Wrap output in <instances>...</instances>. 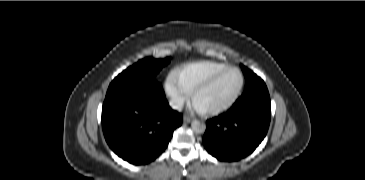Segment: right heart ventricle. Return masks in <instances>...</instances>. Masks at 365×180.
<instances>
[{"label": "right heart ventricle", "instance_id": "right-heart-ventricle-1", "mask_svg": "<svg viewBox=\"0 0 365 180\" xmlns=\"http://www.w3.org/2000/svg\"><path fill=\"white\" fill-rule=\"evenodd\" d=\"M223 62L202 61L188 64L176 71L178 80L188 94L218 71L228 67Z\"/></svg>", "mask_w": 365, "mask_h": 180}]
</instances>
